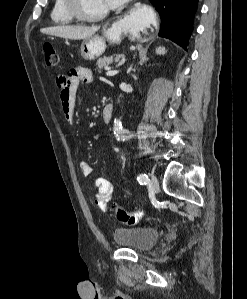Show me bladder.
Instances as JSON below:
<instances>
[{
	"mask_svg": "<svg viewBox=\"0 0 247 299\" xmlns=\"http://www.w3.org/2000/svg\"><path fill=\"white\" fill-rule=\"evenodd\" d=\"M159 237L160 232L148 226L120 227L113 231V240L118 246L139 252L150 250Z\"/></svg>",
	"mask_w": 247,
	"mask_h": 299,
	"instance_id": "obj_1",
	"label": "bladder"
}]
</instances>
